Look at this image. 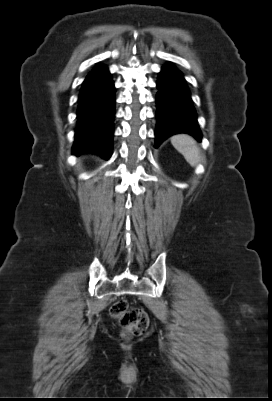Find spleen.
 <instances>
[{"label": "spleen", "mask_w": 272, "mask_h": 401, "mask_svg": "<svg viewBox=\"0 0 272 401\" xmlns=\"http://www.w3.org/2000/svg\"><path fill=\"white\" fill-rule=\"evenodd\" d=\"M171 143L191 166L194 167L198 164L200 161L199 149L192 137L185 134L175 135L171 138Z\"/></svg>", "instance_id": "1"}]
</instances>
